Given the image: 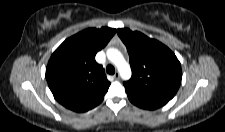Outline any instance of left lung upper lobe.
<instances>
[{
  "label": "left lung upper lobe",
  "mask_w": 225,
  "mask_h": 132,
  "mask_svg": "<svg viewBox=\"0 0 225 132\" xmlns=\"http://www.w3.org/2000/svg\"><path fill=\"white\" fill-rule=\"evenodd\" d=\"M127 47L132 77L124 82L128 95L143 99L171 100L182 79L181 64L175 54L157 40L138 31L117 29Z\"/></svg>",
  "instance_id": "5c2ea615"
}]
</instances>
